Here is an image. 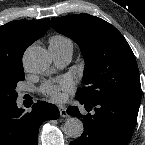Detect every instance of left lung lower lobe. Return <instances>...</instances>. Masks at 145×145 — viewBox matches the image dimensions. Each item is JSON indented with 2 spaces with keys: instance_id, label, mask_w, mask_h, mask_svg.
Wrapping results in <instances>:
<instances>
[{
  "instance_id": "obj_1",
  "label": "left lung lower lobe",
  "mask_w": 145,
  "mask_h": 145,
  "mask_svg": "<svg viewBox=\"0 0 145 145\" xmlns=\"http://www.w3.org/2000/svg\"><path fill=\"white\" fill-rule=\"evenodd\" d=\"M77 98V97H76ZM87 111L94 113L82 115L78 108L67 109L69 115L83 121L84 132L81 137L71 141L70 145H127L133 135L141 102L139 95L116 96L96 102H85Z\"/></svg>"
}]
</instances>
